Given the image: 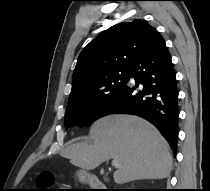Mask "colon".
<instances>
[{"label":"colon","instance_id":"1","mask_svg":"<svg viewBox=\"0 0 210 191\" xmlns=\"http://www.w3.org/2000/svg\"><path fill=\"white\" fill-rule=\"evenodd\" d=\"M54 182V176L51 174L43 175L38 180V189L34 191H62L53 190L50 188L51 184Z\"/></svg>","mask_w":210,"mask_h":191}]
</instances>
